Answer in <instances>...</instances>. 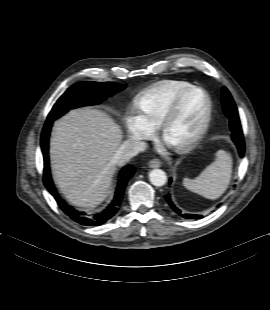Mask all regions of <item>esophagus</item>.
Listing matches in <instances>:
<instances>
[{
  "label": "esophagus",
  "mask_w": 270,
  "mask_h": 310,
  "mask_svg": "<svg viewBox=\"0 0 270 310\" xmlns=\"http://www.w3.org/2000/svg\"><path fill=\"white\" fill-rule=\"evenodd\" d=\"M149 166L150 168H158L161 166V162L160 160L158 159H152L150 162H149Z\"/></svg>",
  "instance_id": "34e87169"
}]
</instances>
